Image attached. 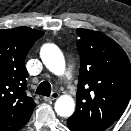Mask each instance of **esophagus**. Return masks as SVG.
<instances>
[{"label":"esophagus","instance_id":"34e87169","mask_svg":"<svg viewBox=\"0 0 131 131\" xmlns=\"http://www.w3.org/2000/svg\"><path fill=\"white\" fill-rule=\"evenodd\" d=\"M59 94L57 92H53L50 97H43L45 102H52L58 98Z\"/></svg>","mask_w":131,"mask_h":131}]
</instances>
